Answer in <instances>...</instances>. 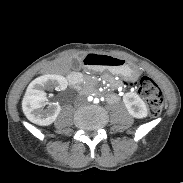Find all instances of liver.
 <instances>
[{
    "label": "liver",
    "instance_id": "1",
    "mask_svg": "<svg viewBox=\"0 0 183 183\" xmlns=\"http://www.w3.org/2000/svg\"><path fill=\"white\" fill-rule=\"evenodd\" d=\"M71 63L70 60H64L62 62H59L57 66L55 67V72L59 74H67L70 70Z\"/></svg>",
    "mask_w": 183,
    "mask_h": 183
}]
</instances>
